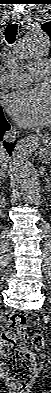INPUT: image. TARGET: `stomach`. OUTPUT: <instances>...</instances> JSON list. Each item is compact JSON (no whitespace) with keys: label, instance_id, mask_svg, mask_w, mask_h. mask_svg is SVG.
<instances>
[{"label":"stomach","instance_id":"obj_1","mask_svg":"<svg viewBox=\"0 0 51 393\" xmlns=\"http://www.w3.org/2000/svg\"><path fill=\"white\" fill-rule=\"evenodd\" d=\"M39 159L46 165H51V145L47 144L39 151Z\"/></svg>","mask_w":51,"mask_h":393}]
</instances>
